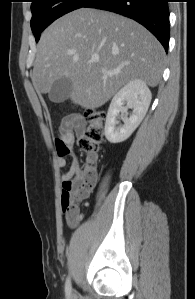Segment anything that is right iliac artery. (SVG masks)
<instances>
[{
    "instance_id": "82829eb1",
    "label": "right iliac artery",
    "mask_w": 195,
    "mask_h": 299,
    "mask_svg": "<svg viewBox=\"0 0 195 299\" xmlns=\"http://www.w3.org/2000/svg\"><path fill=\"white\" fill-rule=\"evenodd\" d=\"M71 291H72L71 282H70V279L67 278L66 284H65V293H66L67 299H70Z\"/></svg>"
}]
</instances>
